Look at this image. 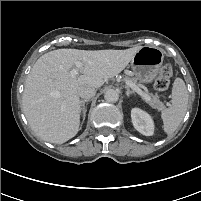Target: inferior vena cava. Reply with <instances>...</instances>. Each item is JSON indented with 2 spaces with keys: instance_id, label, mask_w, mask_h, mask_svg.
<instances>
[{
  "instance_id": "602c4592",
  "label": "inferior vena cava",
  "mask_w": 201,
  "mask_h": 201,
  "mask_svg": "<svg viewBox=\"0 0 201 201\" xmlns=\"http://www.w3.org/2000/svg\"><path fill=\"white\" fill-rule=\"evenodd\" d=\"M78 94L83 99H90L95 96L96 90L90 86H81L78 89Z\"/></svg>"
}]
</instances>
